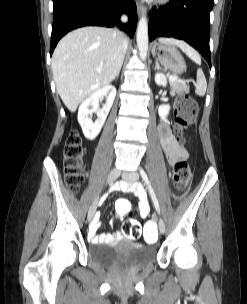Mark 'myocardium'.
<instances>
[{"instance_id": "f54148a6", "label": "myocardium", "mask_w": 247, "mask_h": 304, "mask_svg": "<svg viewBox=\"0 0 247 304\" xmlns=\"http://www.w3.org/2000/svg\"><path fill=\"white\" fill-rule=\"evenodd\" d=\"M155 2L158 5L164 6V5H167L170 2V0H155Z\"/></svg>"}]
</instances>
